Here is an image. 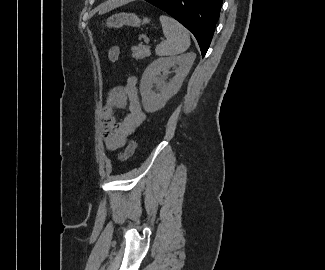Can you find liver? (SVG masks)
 I'll list each match as a JSON object with an SVG mask.
<instances>
[{
    "label": "liver",
    "mask_w": 325,
    "mask_h": 270,
    "mask_svg": "<svg viewBox=\"0 0 325 270\" xmlns=\"http://www.w3.org/2000/svg\"><path fill=\"white\" fill-rule=\"evenodd\" d=\"M128 1L129 0H111L110 2L104 3L99 7V14L100 15L105 14Z\"/></svg>",
    "instance_id": "1"
}]
</instances>
